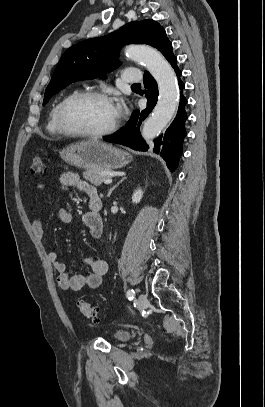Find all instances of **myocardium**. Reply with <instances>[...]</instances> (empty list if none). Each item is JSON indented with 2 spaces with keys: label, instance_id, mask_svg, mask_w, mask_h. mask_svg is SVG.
Listing matches in <instances>:
<instances>
[{
  "label": "myocardium",
  "instance_id": "1",
  "mask_svg": "<svg viewBox=\"0 0 265 407\" xmlns=\"http://www.w3.org/2000/svg\"><path fill=\"white\" fill-rule=\"evenodd\" d=\"M83 98H94V99H101L105 100L108 102L112 103L111 98L99 91L95 90H83V91H77L69 94L67 97H65L62 102L59 105L58 112H57V122L60 130L67 136H72V137H81V138H102L105 136H108L112 133H114L118 126H119V117L117 116L114 122L106 129L97 131V132H86V131H80L72 126L67 121V110L69 105L78 99H83Z\"/></svg>",
  "mask_w": 265,
  "mask_h": 407
}]
</instances>
